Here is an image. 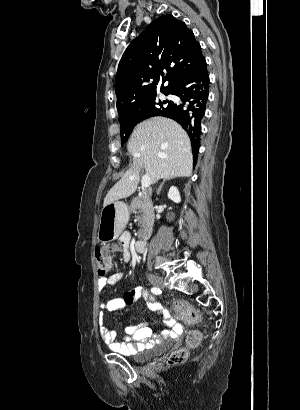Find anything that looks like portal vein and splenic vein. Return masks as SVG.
Wrapping results in <instances>:
<instances>
[{
	"label": "portal vein and splenic vein",
	"mask_w": 300,
	"mask_h": 410,
	"mask_svg": "<svg viewBox=\"0 0 300 410\" xmlns=\"http://www.w3.org/2000/svg\"><path fill=\"white\" fill-rule=\"evenodd\" d=\"M141 184L143 188H148L151 185V181L148 175L142 176Z\"/></svg>",
	"instance_id": "obj_1"
}]
</instances>
